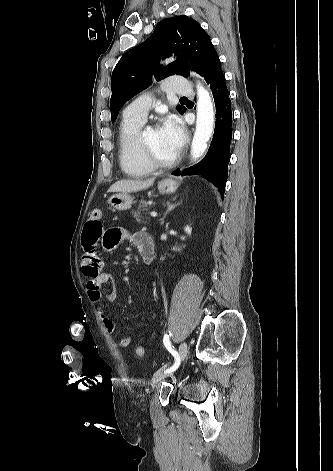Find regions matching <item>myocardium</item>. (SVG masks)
Segmentation results:
<instances>
[{
  "mask_svg": "<svg viewBox=\"0 0 333 471\" xmlns=\"http://www.w3.org/2000/svg\"><path fill=\"white\" fill-rule=\"evenodd\" d=\"M139 146L145 159L154 168H170V167H173L178 161V158H179L178 156H175L171 160H167V161L157 158L147 147L143 139V136L139 138Z\"/></svg>",
  "mask_w": 333,
  "mask_h": 471,
  "instance_id": "1",
  "label": "myocardium"
}]
</instances>
